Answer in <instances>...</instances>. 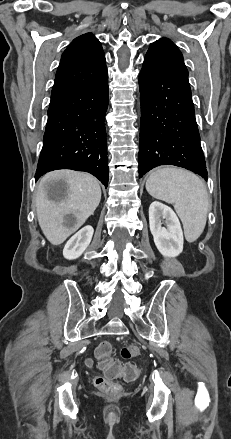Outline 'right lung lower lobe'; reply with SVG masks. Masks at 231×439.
I'll list each match as a JSON object with an SVG mask.
<instances>
[{"label":"right lung lower lobe","instance_id":"right-lung-lower-lobe-1","mask_svg":"<svg viewBox=\"0 0 231 439\" xmlns=\"http://www.w3.org/2000/svg\"><path fill=\"white\" fill-rule=\"evenodd\" d=\"M108 76L50 102L35 179L56 169L85 171L108 185Z\"/></svg>","mask_w":231,"mask_h":439}]
</instances>
